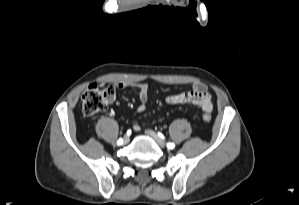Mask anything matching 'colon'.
<instances>
[{"label": "colon", "mask_w": 299, "mask_h": 205, "mask_svg": "<svg viewBox=\"0 0 299 205\" xmlns=\"http://www.w3.org/2000/svg\"><path fill=\"white\" fill-rule=\"evenodd\" d=\"M116 95V88L113 85L101 86L93 84L89 86L82 95L81 109L87 117H93L96 114L106 110L113 102ZM211 114H203V120L210 122Z\"/></svg>", "instance_id": "5ec220e1"}]
</instances>
